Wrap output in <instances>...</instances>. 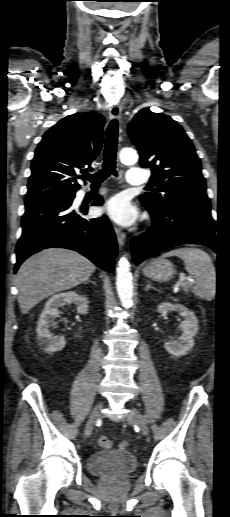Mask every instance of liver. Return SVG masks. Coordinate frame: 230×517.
Returning <instances> with one entry per match:
<instances>
[{"instance_id":"1","label":"liver","mask_w":230,"mask_h":517,"mask_svg":"<svg viewBox=\"0 0 230 517\" xmlns=\"http://www.w3.org/2000/svg\"><path fill=\"white\" fill-rule=\"evenodd\" d=\"M95 269L89 259L69 249L49 248L31 256L16 276L22 314L43 299L88 280Z\"/></svg>"}]
</instances>
